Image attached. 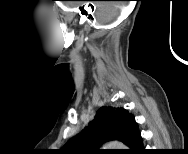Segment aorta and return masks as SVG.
I'll list each match as a JSON object with an SVG mask.
<instances>
[{
	"mask_svg": "<svg viewBox=\"0 0 188 154\" xmlns=\"http://www.w3.org/2000/svg\"><path fill=\"white\" fill-rule=\"evenodd\" d=\"M108 149H125V146L119 141H111L105 144Z\"/></svg>",
	"mask_w": 188,
	"mask_h": 154,
	"instance_id": "762f6f07",
	"label": "aorta"
}]
</instances>
